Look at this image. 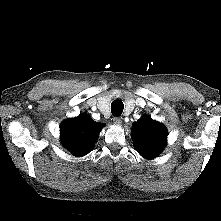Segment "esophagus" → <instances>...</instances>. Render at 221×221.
Masks as SVG:
<instances>
[{
	"instance_id": "esophagus-1",
	"label": "esophagus",
	"mask_w": 221,
	"mask_h": 221,
	"mask_svg": "<svg viewBox=\"0 0 221 221\" xmlns=\"http://www.w3.org/2000/svg\"><path fill=\"white\" fill-rule=\"evenodd\" d=\"M113 122H114V124H116V125H121V124H122V118H120V117H114V118H113Z\"/></svg>"
}]
</instances>
